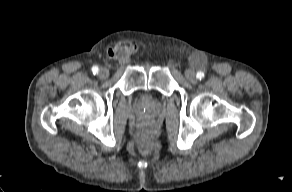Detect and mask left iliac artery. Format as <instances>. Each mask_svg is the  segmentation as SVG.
Instances as JSON below:
<instances>
[{
	"label": "left iliac artery",
	"mask_w": 292,
	"mask_h": 192,
	"mask_svg": "<svg viewBox=\"0 0 292 192\" xmlns=\"http://www.w3.org/2000/svg\"><path fill=\"white\" fill-rule=\"evenodd\" d=\"M196 77H197L199 80H201V79L204 78V73L201 72V71H199V72H197Z\"/></svg>",
	"instance_id": "1"
}]
</instances>
